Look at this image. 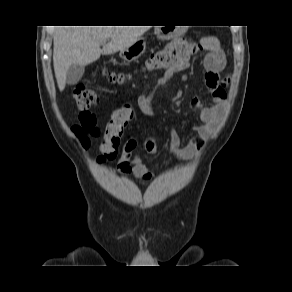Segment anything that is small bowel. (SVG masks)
<instances>
[{"instance_id":"small-bowel-1","label":"small bowel","mask_w":292,"mask_h":292,"mask_svg":"<svg viewBox=\"0 0 292 292\" xmlns=\"http://www.w3.org/2000/svg\"><path fill=\"white\" fill-rule=\"evenodd\" d=\"M204 49L208 51L204 58L205 84L208 93L213 98V104L202 107L199 97L191 100V108L198 110L202 124L194 127L193 135L185 145H182L176 133L171 134L170 151L183 157H191L213 133L225 107L227 80H222L219 73L225 65V55L219 41L214 37L204 38L201 42ZM188 68V62L178 63L167 69L158 81V85L170 81L175 74ZM137 141L134 138L127 140L122 149V154L117 163V169L125 175H133L142 181H149L153 175L136 154Z\"/></svg>"}]
</instances>
